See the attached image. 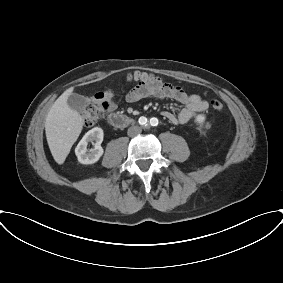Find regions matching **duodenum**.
<instances>
[{
  "label": "duodenum",
  "mask_w": 283,
  "mask_h": 283,
  "mask_svg": "<svg viewBox=\"0 0 283 283\" xmlns=\"http://www.w3.org/2000/svg\"><path fill=\"white\" fill-rule=\"evenodd\" d=\"M107 122L113 127L124 128L131 125L134 119L127 115L112 113L107 117Z\"/></svg>",
  "instance_id": "duodenum-1"
}]
</instances>
